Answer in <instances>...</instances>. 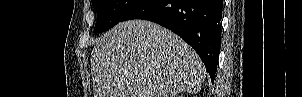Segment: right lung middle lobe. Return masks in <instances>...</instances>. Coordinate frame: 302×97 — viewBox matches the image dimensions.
Wrapping results in <instances>:
<instances>
[{"instance_id": "obj_1", "label": "right lung middle lobe", "mask_w": 302, "mask_h": 97, "mask_svg": "<svg viewBox=\"0 0 302 97\" xmlns=\"http://www.w3.org/2000/svg\"><path fill=\"white\" fill-rule=\"evenodd\" d=\"M141 0H92L97 12L95 32H103L123 20L126 13Z\"/></svg>"}]
</instances>
